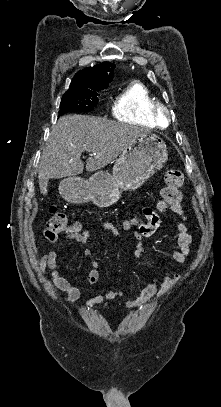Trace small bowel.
<instances>
[{"label":"small bowel","instance_id":"obj_1","mask_svg":"<svg viewBox=\"0 0 221 407\" xmlns=\"http://www.w3.org/2000/svg\"><path fill=\"white\" fill-rule=\"evenodd\" d=\"M171 211L179 216L180 221H169L174 230L177 233V240L174 245L170 247V260L164 259L163 277H154L149 284L144 287L139 295L134 299H129L125 302V305L129 309L139 308L145 306L157 298L161 297L164 293L174 287L181 279V270L172 271V263L175 262L179 266H182L191 253L192 236L189 233L188 226L186 224V214L184 208L180 203L171 207ZM144 220L137 218L132 219V227L127 228V231L132 235L136 244L134 246V256L136 258H142L145 253L143 240L155 234L161 224L159 216L153 212L150 208L143 209ZM103 227L113 234L117 232L108 224L103 223ZM94 227H85L82 230L74 233L67 234L63 237L66 242H77L79 244H86ZM61 239H55L53 242L60 241ZM91 250L86 249L85 254L91 255ZM59 252L52 250L48 254L44 255L38 262V268L40 271L46 269L50 271L52 284L64 292L61 297V301L64 304L74 303L81 297L80 288L63 277L58 271L57 259ZM99 281L98 265L95 261L92 262L91 267L87 274V284L89 288L94 287ZM127 292L125 290L108 291L101 294H92L84 305L85 310H90L92 307L103 303L105 300H113L117 298H125Z\"/></svg>","mask_w":221,"mask_h":407}]
</instances>
